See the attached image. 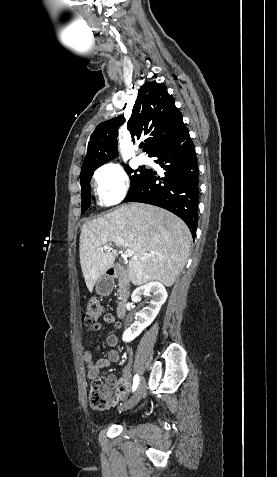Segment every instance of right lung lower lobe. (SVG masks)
I'll return each mask as SVG.
<instances>
[{
  "instance_id": "1",
  "label": "right lung lower lobe",
  "mask_w": 277,
  "mask_h": 477,
  "mask_svg": "<svg viewBox=\"0 0 277 477\" xmlns=\"http://www.w3.org/2000/svg\"><path fill=\"white\" fill-rule=\"evenodd\" d=\"M149 156L157 158L155 162L165 170L164 176L147 169L142 182L124 201L148 203L171 211L187 224L194 238L198 225L199 174L195 147L187 128Z\"/></svg>"
}]
</instances>
